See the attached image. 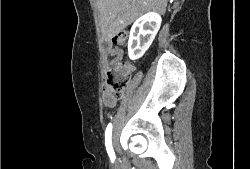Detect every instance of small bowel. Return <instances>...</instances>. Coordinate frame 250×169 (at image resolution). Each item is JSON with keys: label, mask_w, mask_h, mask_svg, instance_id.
I'll list each match as a JSON object with an SVG mask.
<instances>
[{"label": "small bowel", "mask_w": 250, "mask_h": 169, "mask_svg": "<svg viewBox=\"0 0 250 169\" xmlns=\"http://www.w3.org/2000/svg\"><path fill=\"white\" fill-rule=\"evenodd\" d=\"M109 55L113 57V59L107 64V67L110 68L114 64H116L120 57H121V51L117 47H113L109 50ZM102 100L105 106L112 108L116 104V99L113 98L108 90V87L105 86L102 90Z\"/></svg>", "instance_id": "small-bowel-1"}]
</instances>
